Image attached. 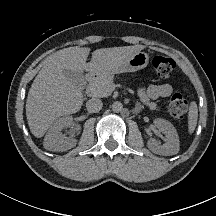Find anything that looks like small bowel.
Wrapping results in <instances>:
<instances>
[{
	"mask_svg": "<svg viewBox=\"0 0 216 216\" xmlns=\"http://www.w3.org/2000/svg\"><path fill=\"white\" fill-rule=\"evenodd\" d=\"M172 90L168 83L153 84L147 89V96L151 99L166 98L171 95Z\"/></svg>",
	"mask_w": 216,
	"mask_h": 216,
	"instance_id": "small-bowel-1",
	"label": "small bowel"
}]
</instances>
